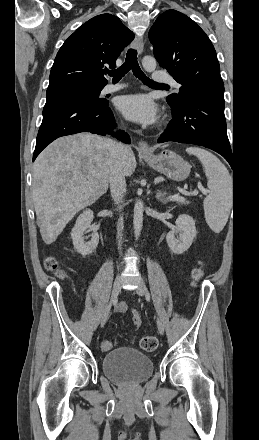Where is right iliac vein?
I'll return each mask as SVG.
<instances>
[{"label":"right iliac vein","instance_id":"63e3f726","mask_svg":"<svg viewBox=\"0 0 259 440\" xmlns=\"http://www.w3.org/2000/svg\"><path fill=\"white\" fill-rule=\"evenodd\" d=\"M121 284H122V277L119 275L117 276V278L115 279L114 285H113V290H112V297H111V301L109 303V305L106 307L102 319H101V327H103L109 317V313H110V309L112 304L114 303V301L116 300L120 290H121Z\"/></svg>","mask_w":259,"mask_h":440}]
</instances>
